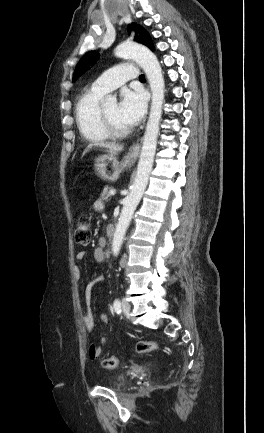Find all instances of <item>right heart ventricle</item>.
<instances>
[{"label": "right heart ventricle", "instance_id": "1", "mask_svg": "<svg viewBox=\"0 0 264 433\" xmlns=\"http://www.w3.org/2000/svg\"><path fill=\"white\" fill-rule=\"evenodd\" d=\"M104 93L93 88L84 91L75 105V119L82 137L89 142L107 140L110 135L105 130L101 116V99Z\"/></svg>", "mask_w": 264, "mask_h": 433}]
</instances>
